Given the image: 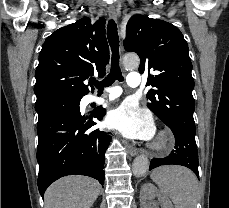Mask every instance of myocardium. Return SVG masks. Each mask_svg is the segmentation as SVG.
Segmentation results:
<instances>
[{"instance_id":"obj_1","label":"myocardium","mask_w":229,"mask_h":208,"mask_svg":"<svg viewBox=\"0 0 229 208\" xmlns=\"http://www.w3.org/2000/svg\"><path fill=\"white\" fill-rule=\"evenodd\" d=\"M175 145V136L169 129H161L154 140L149 144L150 150L155 154H163L171 150Z\"/></svg>"}]
</instances>
